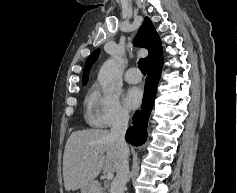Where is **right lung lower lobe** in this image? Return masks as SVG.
<instances>
[{"label":"right lung lower lobe","mask_w":237,"mask_h":193,"mask_svg":"<svg viewBox=\"0 0 237 193\" xmlns=\"http://www.w3.org/2000/svg\"><path fill=\"white\" fill-rule=\"evenodd\" d=\"M163 57L147 65L148 76L145 82V93L141 110L133 116V126L126 133V141L133 146H140L146 140L148 118L154 105L160 74L162 71Z\"/></svg>","instance_id":"obj_1"}]
</instances>
